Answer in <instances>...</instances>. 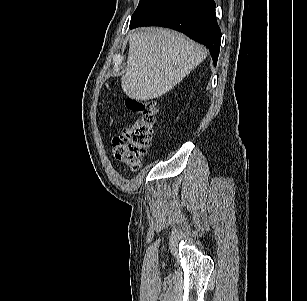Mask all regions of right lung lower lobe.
<instances>
[{
  "instance_id": "1",
  "label": "right lung lower lobe",
  "mask_w": 307,
  "mask_h": 301,
  "mask_svg": "<svg viewBox=\"0 0 307 301\" xmlns=\"http://www.w3.org/2000/svg\"><path fill=\"white\" fill-rule=\"evenodd\" d=\"M214 0H167L129 28L163 26L186 34L209 48L216 65L220 49L221 31L216 21Z\"/></svg>"
}]
</instances>
